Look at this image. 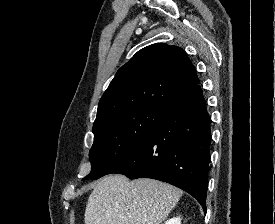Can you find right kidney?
Returning <instances> with one entry per match:
<instances>
[{
    "label": "right kidney",
    "mask_w": 275,
    "mask_h": 224,
    "mask_svg": "<svg viewBox=\"0 0 275 224\" xmlns=\"http://www.w3.org/2000/svg\"><path fill=\"white\" fill-rule=\"evenodd\" d=\"M164 224H181L180 217H174L172 219L167 220Z\"/></svg>",
    "instance_id": "obj_1"
}]
</instances>
